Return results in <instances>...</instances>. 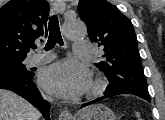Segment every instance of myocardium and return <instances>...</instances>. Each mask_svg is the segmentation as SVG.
<instances>
[{
	"label": "myocardium",
	"mask_w": 165,
	"mask_h": 120,
	"mask_svg": "<svg viewBox=\"0 0 165 120\" xmlns=\"http://www.w3.org/2000/svg\"><path fill=\"white\" fill-rule=\"evenodd\" d=\"M107 80L103 77H95L92 79L90 86L86 92L87 98H93L101 95L106 87H107Z\"/></svg>",
	"instance_id": "1"
}]
</instances>
